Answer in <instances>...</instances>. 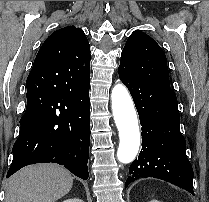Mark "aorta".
<instances>
[{
  "label": "aorta",
  "mask_w": 209,
  "mask_h": 202,
  "mask_svg": "<svg viewBox=\"0 0 209 202\" xmlns=\"http://www.w3.org/2000/svg\"><path fill=\"white\" fill-rule=\"evenodd\" d=\"M111 105L120 140L117 158L121 163L127 164L138 153L140 131L132 98L123 84L118 83L113 87Z\"/></svg>",
  "instance_id": "aorta-1"
}]
</instances>
